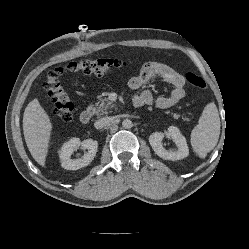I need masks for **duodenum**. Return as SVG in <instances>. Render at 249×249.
<instances>
[{
    "mask_svg": "<svg viewBox=\"0 0 249 249\" xmlns=\"http://www.w3.org/2000/svg\"><path fill=\"white\" fill-rule=\"evenodd\" d=\"M93 115V110L92 109H86L84 110L81 115H80V121L83 123V124H87L90 122L91 120V117Z\"/></svg>",
    "mask_w": 249,
    "mask_h": 249,
    "instance_id": "410a0bca",
    "label": "duodenum"
}]
</instances>
